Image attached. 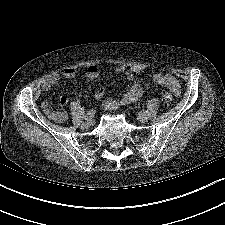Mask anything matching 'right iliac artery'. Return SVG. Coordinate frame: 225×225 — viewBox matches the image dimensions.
Masks as SVG:
<instances>
[{"label": "right iliac artery", "mask_w": 225, "mask_h": 225, "mask_svg": "<svg viewBox=\"0 0 225 225\" xmlns=\"http://www.w3.org/2000/svg\"><path fill=\"white\" fill-rule=\"evenodd\" d=\"M95 110H90V111H88L87 113H86V115L84 116V119L85 120H90V119H92L93 117H94V115H95Z\"/></svg>", "instance_id": "1"}]
</instances>
